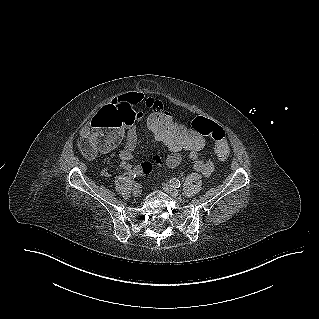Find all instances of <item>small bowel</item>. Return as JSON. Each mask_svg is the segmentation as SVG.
Segmentation results:
<instances>
[{"label":"small bowel","instance_id":"obj_1","mask_svg":"<svg viewBox=\"0 0 319 319\" xmlns=\"http://www.w3.org/2000/svg\"><path fill=\"white\" fill-rule=\"evenodd\" d=\"M142 101L149 113H162L163 105L159 100L151 97L144 99L140 93H128L118 96L109 106L99 108L97 116L91 117L90 127L86 126L81 130V135L87 136L90 146L101 153L115 150L124 141L119 151V159L120 167L126 171H132V165L129 161L137 146L135 126L138 120L143 118L137 105ZM175 123L177 122L175 121ZM195 134L202 135L200 130L195 131ZM182 152L171 151L165 161V166L168 168L177 167L182 161ZM188 157L193 162L195 171L204 176H210L215 171L214 162L210 159H202L200 152H188ZM133 171L140 173V167H135Z\"/></svg>","mask_w":319,"mask_h":319}]
</instances>
